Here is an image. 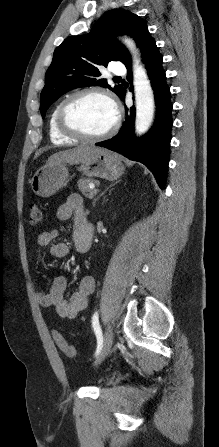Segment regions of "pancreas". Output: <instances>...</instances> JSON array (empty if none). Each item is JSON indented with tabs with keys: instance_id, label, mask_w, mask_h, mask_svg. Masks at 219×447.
<instances>
[{
	"instance_id": "1",
	"label": "pancreas",
	"mask_w": 219,
	"mask_h": 447,
	"mask_svg": "<svg viewBox=\"0 0 219 447\" xmlns=\"http://www.w3.org/2000/svg\"><path fill=\"white\" fill-rule=\"evenodd\" d=\"M90 183H97L94 180H90V179H79L77 184H78V188L81 191V193L86 197V198H90L92 199L95 195L94 191L92 189L89 188V184Z\"/></svg>"
}]
</instances>
